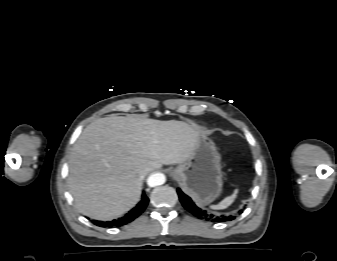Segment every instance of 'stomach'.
I'll return each mask as SVG.
<instances>
[{
  "label": "stomach",
  "instance_id": "0dacf381",
  "mask_svg": "<svg viewBox=\"0 0 337 261\" xmlns=\"http://www.w3.org/2000/svg\"><path fill=\"white\" fill-rule=\"evenodd\" d=\"M172 177L198 203L208 204L219 196L223 187L220 154L205 131L190 158L172 171Z\"/></svg>",
  "mask_w": 337,
  "mask_h": 261
}]
</instances>
